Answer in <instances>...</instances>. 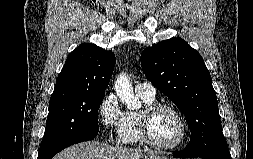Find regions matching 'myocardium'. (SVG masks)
I'll return each instance as SVG.
<instances>
[{"label": "myocardium", "instance_id": "obj_1", "mask_svg": "<svg viewBox=\"0 0 253 159\" xmlns=\"http://www.w3.org/2000/svg\"><path fill=\"white\" fill-rule=\"evenodd\" d=\"M166 109L172 111L178 118L181 125V133L178 139L171 145H160L156 143L151 136L150 122L153 115L159 110ZM139 139L146 146L152 147L159 151H172L179 148L186 140L188 135V124L185 117L174 105L162 102H153L144 106L139 113L138 118Z\"/></svg>", "mask_w": 253, "mask_h": 159}]
</instances>
